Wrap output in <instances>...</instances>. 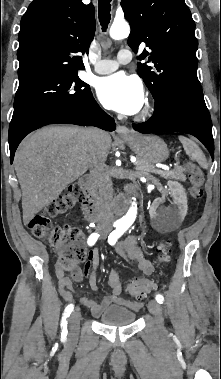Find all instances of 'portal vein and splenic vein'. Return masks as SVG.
Masks as SVG:
<instances>
[{
  "label": "portal vein and splenic vein",
  "mask_w": 221,
  "mask_h": 379,
  "mask_svg": "<svg viewBox=\"0 0 221 379\" xmlns=\"http://www.w3.org/2000/svg\"><path fill=\"white\" fill-rule=\"evenodd\" d=\"M132 163H136V160H131ZM138 168H143V167H136V169ZM170 168L168 166H160L159 168L157 169H151L149 170L150 172H153V173H160L162 171H169Z\"/></svg>",
  "instance_id": "1"
}]
</instances>
